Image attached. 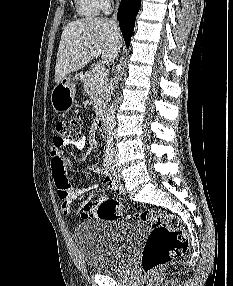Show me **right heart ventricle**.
Returning <instances> with one entry per match:
<instances>
[{"label":"right heart ventricle","instance_id":"right-heart-ventricle-1","mask_svg":"<svg viewBox=\"0 0 233 286\" xmlns=\"http://www.w3.org/2000/svg\"><path fill=\"white\" fill-rule=\"evenodd\" d=\"M75 4L82 17H94L102 10L99 0H75Z\"/></svg>","mask_w":233,"mask_h":286}]
</instances>
